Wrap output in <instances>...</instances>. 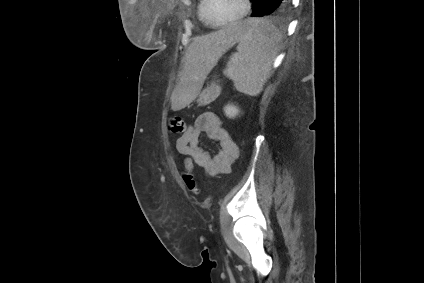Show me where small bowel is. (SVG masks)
Returning a JSON list of instances; mask_svg holds the SVG:
<instances>
[{
    "instance_id": "1",
    "label": "small bowel",
    "mask_w": 424,
    "mask_h": 283,
    "mask_svg": "<svg viewBox=\"0 0 424 283\" xmlns=\"http://www.w3.org/2000/svg\"><path fill=\"white\" fill-rule=\"evenodd\" d=\"M203 134L219 142L220 148L216 154L210 155L201 146ZM176 150L179 154L187 156L185 161L189 160L193 165L202 167L207 176L228 173L239 157L238 146L222 127L217 114L212 111L202 113L192 125L186 127L176 140Z\"/></svg>"
}]
</instances>
